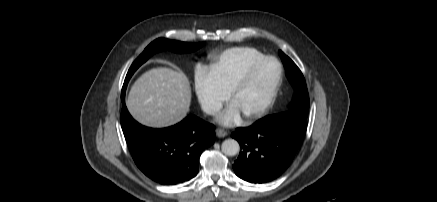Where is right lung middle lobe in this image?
<instances>
[{
  "mask_svg": "<svg viewBox=\"0 0 437 202\" xmlns=\"http://www.w3.org/2000/svg\"><path fill=\"white\" fill-rule=\"evenodd\" d=\"M202 45L203 43H185V42L168 40L165 38L156 39L145 48L144 52L131 65L123 84L121 97H125L127 84L131 76L134 74V72L139 68V66H141L144 62H146L150 58V56L155 52L168 49L178 53H186V52L195 51L199 49Z\"/></svg>",
  "mask_w": 437,
  "mask_h": 202,
  "instance_id": "1",
  "label": "right lung middle lobe"
}]
</instances>
